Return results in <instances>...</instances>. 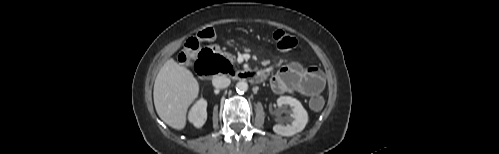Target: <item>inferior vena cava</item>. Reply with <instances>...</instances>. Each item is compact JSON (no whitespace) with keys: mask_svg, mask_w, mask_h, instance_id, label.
I'll use <instances>...</instances> for the list:
<instances>
[{"mask_svg":"<svg viewBox=\"0 0 499 154\" xmlns=\"http://www.w3.org/2000/svg\"><path fill=\"white\" fill-rule=\"evenodd\" d=\"M231 81L228 77L222 75V76H216L215 78H213L212 80V84L216 87V88H226L230 85Z\"/></svg>","mask_w":499,"mask_h":154,"instance_id":"obj_1","label":"inferior vena cava"}]
</instances>
